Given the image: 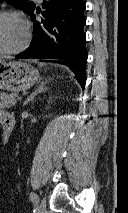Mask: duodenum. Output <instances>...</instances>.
<instances>
[{
  "instance_id": "1",
  "label": "duodenum",
  "mask_w": 128,
  "mask_h": 213,
  "mask_svg": "<svg viewBox=\"0 0 128 213\" xmlns=\"http://www.w3.org/2000/svg\"><path fill=\"white\" fill-rule=\"evenodd\" d=\"M2 125H3V134H2V141L7 142L9 140V137L14 129L15 126V118L11 114H7L3 120H2Z\"/></svg>"
}]
</instances>
